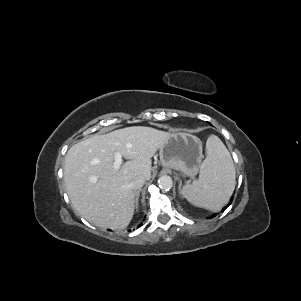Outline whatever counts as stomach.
Listing matches in <instances>:
<instances>
[{
  "instance_id": "stomach-1",
  "label": "stomach",
  "mask_w": 301,
  "mask_h": 301,
  "mask_svg": "<svg viewBox=\"0 0 301 301\" xmlns=\"http://www.w3.org/2000/svg\"><path fill=\"white\" fill-rule=\"evenodd\" d=\"M159 156L163 167L194 177L201 167L202 142L188 132H175L159 148Z\"/></svg>"
}]
</instances>
